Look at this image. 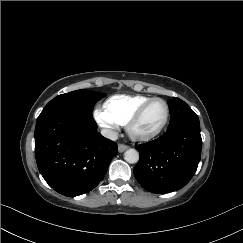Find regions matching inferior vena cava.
<instances>
[{
	"mask_svg": "<svg viewBox=\"0 0 243 243\" xmlns=\"http://www.w3.org/2000/svg\"><path fill=\"white\" fill-rule=\"evenodd\" d=\"M101 134L104 137H106V138H108V139H110L112 141H115V140L118 139L117 133L115 131L111 130V129H102L101 130Z\"/></svg>",
	"mask_w": 243,
	"mask_h": 243,
	"instance_id": "602c4592",
	"label": "inferior vena cava"
}]
</instances>
